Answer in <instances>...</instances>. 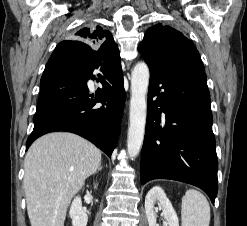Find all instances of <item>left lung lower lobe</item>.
<instances>
[{
    "mask_svg": "<svg viewBox=\"0 0 247 226\" xmlns=\"http://www.w3.org/2000/svg\"><path fill=\"white\" fill-rule=\"evenodd\" d=\"M149 69L141 183L153 179L189 183L204 190L214 204L218 161L205 72L199 68Z\"/></svg>",
    "mask_w": 247,
    "mask_h": 226,
    "instance_id": "0a47b994",
    "label": "left lung lower lobe"
}]
</instances>
